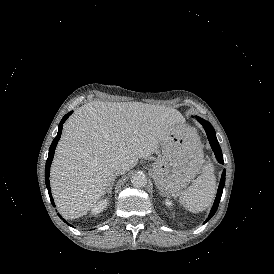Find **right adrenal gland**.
Instances as JSON below:
<instances>
[{
    "label": "right adrenal gland",
    "mask_w": 274,
    "mask_h": 274,
    "mask_svg": "<svg viewBox=\"0 0 274 274\" xmlns=\"http://www.w3.org/2000/svg\"><path fill=\"white\" fill-rule=\"evenodd\" d=\"M114 180H115V177L112 179V181H111V183H110V185H109V188H108V190H107V193H108V197H110V194H111V190H112V186H113V182H114Z\"/></svg>",
    "instance_id": "1"
}]
</instances>
